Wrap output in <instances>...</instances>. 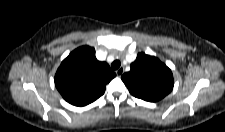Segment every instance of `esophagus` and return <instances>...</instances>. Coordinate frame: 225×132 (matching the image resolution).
Wrapping results in <instances>:
<instances>
[{
    "mask_svg": "<svg viewBox=\"0 0 225 132\" xmlns=\"http://www.w3.org/2000/svg\"><path fill=\"white\" fill-rule=\"evenodd\" d=\"M124 73V68L120 67L119 69L116 70V75L118 77L122 76V74Z\"/></svg>",
    "mask_w": 225,
    "mask_h": 132,
    "instance_id": "esophagus-1",
    "label": "esophagus"
}]
</instances>
